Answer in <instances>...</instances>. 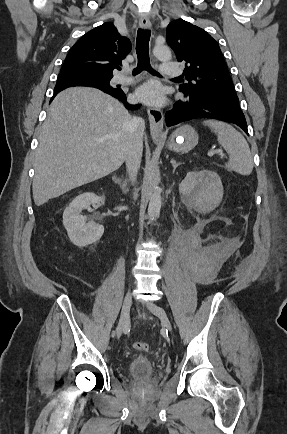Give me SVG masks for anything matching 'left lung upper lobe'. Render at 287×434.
<instances>
[{
  "label": "left lung upper lobe",
  "mask_w": 287,
  "mask_h": 434,
  "mask_svg": "<svg viewBox=\"0 0 287 434\" xmlns=\"http://www.w3.org/2000/svg\"><path fill=\"white\" fill-rule=\"evenodd\" d=\"M166 40L177 60L185 63L184 95L203 93L238 99L218 43L203 29L178 19L167 26Z\"/></svg>",
  "instance_id": "left-lung-upper-lobe-1"
}]
</instances>
